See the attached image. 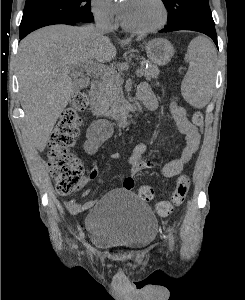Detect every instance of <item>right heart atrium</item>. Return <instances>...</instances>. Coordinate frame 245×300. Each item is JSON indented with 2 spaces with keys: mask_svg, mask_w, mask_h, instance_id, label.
Wrapping results in <instances>:
<instances>
[{
  "mask_svg": "<svg viewBox=\"0 0 245 300\" xmlns=\"http://www.w3.org/2000/svg\"><path fill=\"white\" fill-rule=\"evenodd\" d=\"M91 8L95 19L105 25L113 26L116 23V9L111 0H91Z\"/></svg>",
  "mask_w": 245,
  "mask_h": 300,
  "instance_id": "1",
  "label": "right heart atrium"
}]
</instances>
